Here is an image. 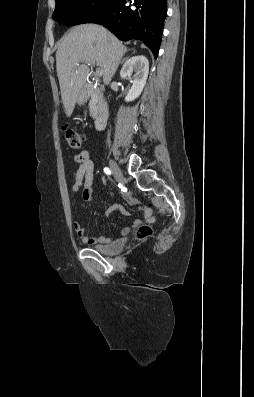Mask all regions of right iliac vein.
<instances>
[{
  "instance_id": "63e3f726",
  "label": "right iliac vein",
  "mask_w": 254,
  "mask_h": 397,
  "mask_svg": "<svg viewBox=\"0 0 254 397\" xmlns=\"http://www.w3.org/2000/svg\"><path fill=\"white\" fill-rule=\"evenodd\" d=\"M109 165H110V169H111L115 179L118 182H123L124 181V177H123L122 171L118 167V165L113 160L109 161Z\"/></svg>"
}]
</instances>
